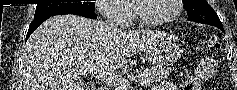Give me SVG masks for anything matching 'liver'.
I'll return each instance as SVG.
<instances>
[{
	"mask_svg": "<svg viewBox=\"0 0 237 90\" xmlns=\"http://www.w3.org/2000/svg\"><path fill=\"white\" fill-rule=\"evenodd\" d=\"M156 36L151 30L109 32L105 22L82 16H53L24 46V90H91L79 76L120 70Z\"/></svg>",
	"mask_w": 237,
	"mask_h": 90,
	"instance_id": "liver-1",
	"label": "liver"
}]
</instances>
